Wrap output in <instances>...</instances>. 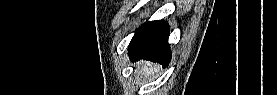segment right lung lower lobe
<instances>
[{
    "instance_id": "right-lung-lower-lobe-1",
    "label": "right lung lower lobe",
    "mask_w": 277,
    "mask_h": 95,
    "mask_svg": "<svg viewBox=\"0 0 277 95\" xmlns=\"http://www.w3.org/2000/svg\"><path fill=\"white\" fill-rule=\"evenodd\" d=\"M170 29L163 20L147 22L139 27L129 45L132 61L141 58L167 66L171 59L168 35Z\"/></svg>"
}]
</instances>
